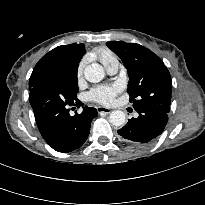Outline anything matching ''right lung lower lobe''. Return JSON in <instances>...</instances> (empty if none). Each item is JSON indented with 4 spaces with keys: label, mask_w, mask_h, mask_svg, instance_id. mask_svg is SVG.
I'll return each instance as SVG.
<instances>
[{
    "label": "right lung lower lobe",
    "mask_w": 205,
    "mask_h": 205,
    "mask_svg": "<svg viewBox=\"0 0 205 205\" xmlns=\"http://www.w3.org/2000/svg\"><path fill=\"white\" fill-rule=\"evenodd\" d=\"M67 75L49 77L30 89V104L38 129L45 141L58 152H71L87 140L90 125L98 114L93 107H83L71 116L69 107L82 106ZM74 109V107L72 108Z\"/></svg>",
    "instance_id": "1"
}]
</instances>
